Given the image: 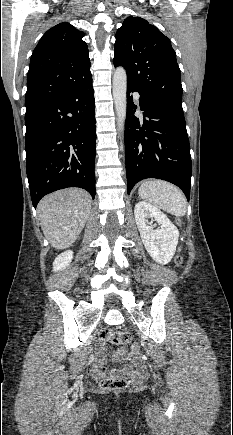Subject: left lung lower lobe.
<instances>
[{
	"label": "left lung lower lobe",
	"mask_w": 233,
	"mask_h": 435,
	"mask_svg": "<svg viewBox=\"0 0 233 435\" xmlns=\"http://www.w3.org/2000/svg\"><path fill=\"white\" fill-rule=\"evenodd\" d=\"M127 83L125 159L127 192L142 179L157 178L177 185L190 198L192 164L182 106L159 102L140 93L143 119L134 115L137 106Z\"/></svg>",
	"instance_id": "obj_1"
}]
</instances>
